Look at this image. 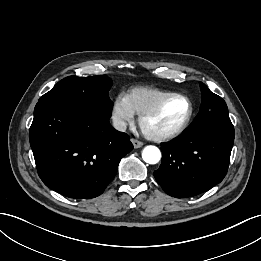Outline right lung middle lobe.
<instances>
[{"label":"right lung middle lobe","mask_w":261,"mask_h":261,"mask_svg":"<svg viewBox=\"0 0 261 261\" xmlns=\"http://www.w3.org/2000/svg\"><path fill=\"white\" fill-rule=\"evenodd\" d=\"M112 81L105 75L69 76L59 81L38 103L90 108L110 117L113 103L109 98Z\"/></svg>","instance_id":"obj_1"}]
</instances>
